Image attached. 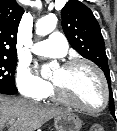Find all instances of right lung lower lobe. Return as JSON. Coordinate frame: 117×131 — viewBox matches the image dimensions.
Instances as JSON below:
<instances>
[{"label": "right lung lower lobe", "mask_w": 117, "mask_h": 131, "mask_svg": "<svg viewBox=\"0 0 117 131\" xmlns=\"http://www.w3.org/2000/svg\"><path fill=\"white\" fill-rule=\"evenodd\" d=\"M0 93L5 94L4 92L0 91Z\"/></svg>", "instance_id": "98d812e1"}]
</instances>
